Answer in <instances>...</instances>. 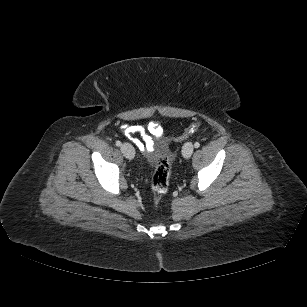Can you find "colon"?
Listing matches in <instances>:
<instances>
[{
  "mask_svg": "<svg viewBox=\"0 0 307 307\" xmlns=\"http://www.w3.org/2000/svg\"><path fill=\"white\" fill-rule=\"evenodd\" d=\"M200 123H192L186 130L183 137H188L199 128ZM171 175V157L169 154H162L156 163L155 170L152 176V189L154 191V203L158 205L161 196L167 192Z\"/></svg>",
  "mask_w": 307,
  "mask_h": 307,
  "instance_id": "5ec220e1",
  "label": "colon"
}]
</instances>
